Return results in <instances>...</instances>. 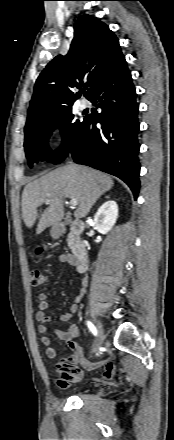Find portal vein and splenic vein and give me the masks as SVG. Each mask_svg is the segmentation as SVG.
I'll list each match as a JSON object with an SVG mask.
<instances>
[{
  "instance_id": "1",
  "label": "portal vein and splenic vein",
  "mask_w": 174,
  "mask_h": 440,
  "mask_svg": "<svg viewBox=\"0 0 174 440\" xmlns=\"http://www.w3.org/2000/svg\"><path fill=\"white\" fill-rule=\"evenodd\" d=\"M69 203H70V205L73 206V207H75V206L78 205V202H77L76 199H71Z\"/></svg>"
}]
</instances>
